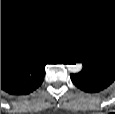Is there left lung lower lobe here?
<instances>
[{
  "instance_id": "0a47b994",
  "label": "left lung lower lobe",
  "mask_w": 115,
  "mask_h": 114,
  "mask_svg": "<svg viewBox=\"0 0 115 114\" xmlns=\"http://www.w3.org/2000/svg\"><path fill=\"white\" fill-rule=\"evenodd\" d=\"M72 82L86 92H98L115 81V73L96 65L83 64V69L70 75Z\"/></svg>"
}]
</instances>
